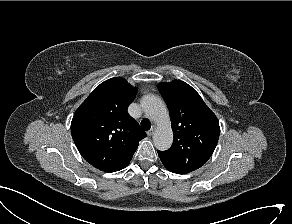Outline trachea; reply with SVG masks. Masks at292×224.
<instances>
[{
    "mask_svg": "<svg viewBox=\"0 0 292 224\" xmlns=\"http://www.w3.org/2000/svg\"><path fill=\"white\" fill-rule=\"evenodd\" d=\"M141 127L144 129V130H149L151 128V123L150 121L147 119V118H144L142 121H141Z\"/></svg>",
    "mask_w": 292,
    "mask_h": 224,
    "instance_id": "3493384b",
    "label": "trachea"
}]
</instances>
